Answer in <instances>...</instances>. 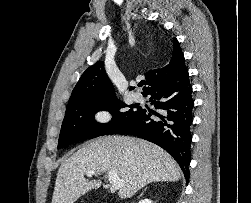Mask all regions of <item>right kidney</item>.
I'll list each match as a JSON object with an SVG mask.
<instances>
[{
    "label": "right kidney",
    "instance_id": "1",
    "mask_svg": "<svg viewBox=\"0 0 251 203\" xmlns=\"http://www.w3.org/2000/svg\"><path fill=\"white\" fill-rule=\"evenodd\" d=\"M139 203H152L150 199L141 200Z\"/></svg>",
    "mask_w": 251,
    "mask_h": 203
}]
</instances>
